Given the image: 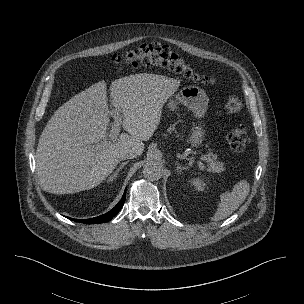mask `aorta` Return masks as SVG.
<instances>
[{"instance_id":"obj_1","label":"aorta","mask_w":304,"mask_h":304,"mask_svg":"<svg viewBox=\"0 0 304 304\" xmlns=\"http://www.w3.org/2000/svg\"><path fill=\"white\" fill-rule=\"evenodd\" d=\"M163 166L159 161L150 160L143 167V175L150 181L158 180L162 177Z\"/></svg>"}]
</instances>
